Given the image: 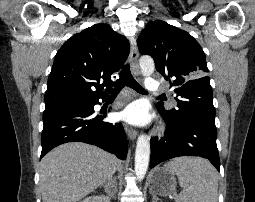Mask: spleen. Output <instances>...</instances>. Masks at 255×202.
<instances>
[{
	"label": "spleen",
	"instance_id": "obj_1",
	"mask_svg": "<svg viewBox=\"0 0 255 202\" xmlns=\"http://www.w3.org/2000/svg\"><path fill=\"white\" fill-rule=\"evenodd\" d=\"M164 168L178 177L183 189L176 202H217L218 173L209 161L182 157L167 162Z\"/></svg>",
	"mask_w": 255,
	"mask_h": 202
}]
</instances>
